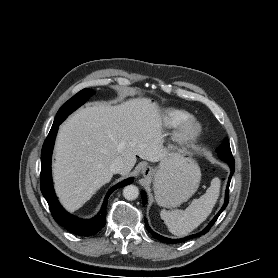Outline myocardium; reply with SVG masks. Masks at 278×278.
Instances as JSON below:
<instances>
[{"label":"myocardium","instance_id":"myocardium-1","mask_svg":"<svg viewBox=\"0 0 278 278\" xmlns=\"http://www.w3.org/2000/svg\"><path fill=\"white\" fill-rule=\"evenodd\" d=\"M201 132L202 127L200 123L191 117L178 127L175 140L182 146H189L199 138Z\"/></svg>","mask_w":278,"mask_h":278}]
</instances>
